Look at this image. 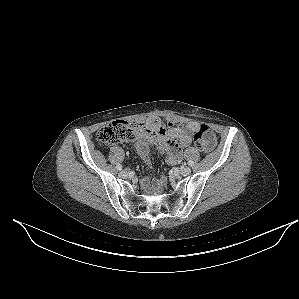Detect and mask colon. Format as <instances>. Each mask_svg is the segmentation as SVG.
Instances as JSON below:
<instances>
[{
	"label": "colon",
	"instance_id": "obj_1",
	"mask_svg": "<svg viewBox=\"0 0 299 299\" xmlns=\"http://www.w3.org/2000/svg\"><path fill=\"white\" fill-rule=\"evenodd\" d=\"M142 129V125L125 120L113 121L102 127L96 136V140L101 145H112L124 141H133L137 132ZM195 145L198 149L207 151L213 146L210 130L206 125H200L194 133ZM163 183L161 184V186ZM161 186L159 188H161Z\"/></svg>",
	"mask_w": 299,
	"mask_h": 299
}]
</instances>
